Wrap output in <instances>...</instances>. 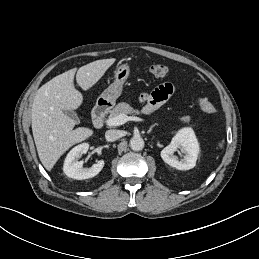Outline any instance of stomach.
<instances>
[{
  "instance_id": "1",
  "label": "stomach",
  "mask_w": 259,
  "mask_h": 259,
  "mask_svg": "<svg viewBox=\"0 0 259 259\" xmlns=\"http://www.w3.org/2000/svg\"><path fill=\"white\" fill-rule=\"evenodd\" d=\"M130 74V67L126 64H121L117 67L114 75V81L109 87L97 98L96 106L112 107L116 100L121 95L123 85Z\"/></svg>"
}]
</instances>
